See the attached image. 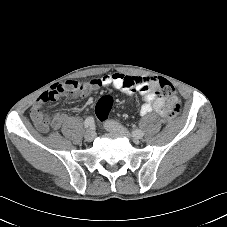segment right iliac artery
<instances>
[{
	"instance_id": "obj_1",
	"label": "right iliac artery",
	"mask_w": 227,
	"mask_h": 227,
	"mask_svg": "<svg viewBox=\"0 0 227 227\" xmlns=\"http://www.w3.org/2000/svg\"><path fill=\"white\" fill-rule=\"evenodd\" d=\"M94 125V118L88 117L84 122V127L87 129L89 127H92Z\"/></svg>"
}]
</instances>
